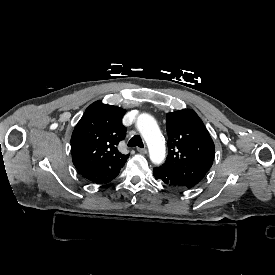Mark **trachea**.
I'll use <instances>...</instances> for the list:
<instances>
[{
  "label": "trachea",
  "instance_id": "trachea-1",
  "mask_svg": "<svg viewBox=\"0 0 275 275\" xmlns=\"http://www.w3.org/2000/svg\"><path fill=\"white\" fill-rule=\"evenodd\" d=\"M128 146H129V147H136V146H138V147H140V148H143V147H144L143 141H142V139H141V137H140L139 135L133 136V137L129 140Z\"/></svg>",
  "mask_w": 275,
  "mask_h": 275
}]
</instances>
